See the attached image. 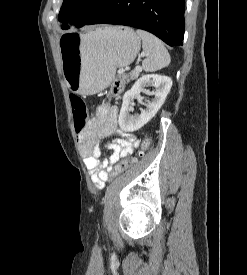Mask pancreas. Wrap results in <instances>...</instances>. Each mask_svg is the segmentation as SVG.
<instances>
[{
  "label": "pancreas",
  "instance_id": "1",
  "mask_svg": "<svg viewBox=\"0 0 247 275\" xmlns=\"http://www.w3.org/2000/svg\"><path fill=\"white\" fill-rule=\"evenodd\" d=\"M140 72L133 70L129 73V75L127 76V82H129L130 80H135L138 78Z\"/></svg>",
  "mask_w": 247,
  "mask_h": 275
}]
</instances>
